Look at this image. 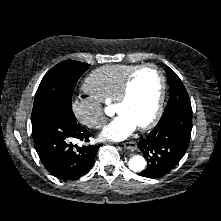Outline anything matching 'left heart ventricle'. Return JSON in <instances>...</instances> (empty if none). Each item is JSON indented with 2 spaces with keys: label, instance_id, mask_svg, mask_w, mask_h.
<instances>
[{
  "label": "left heart ventricle",
  "instance_id": "b2bd125f",
  "mask_svg": "<svg viewBox=\"0 0 221 221\" xmlns=\"http://www.w3.org/2000/svg\"><path fill=\"white\" fill-rule=\"evenodd\" d=\"M161 89V79L154 69L139 72L131 86L129 98L114 111L128 116L137 127L148 122L155 113Z\"/></svg>",
  "mask_w": 221,
  "mask_h": 221
}]
</instances>
